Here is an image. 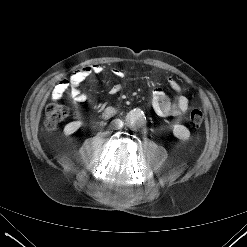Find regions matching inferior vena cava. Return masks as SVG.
I'll return each instance as SVG.
<instances>
[{"instance_id": "obj_1", "label": "inferior vena cava", "mask_w": 247, "mask_h": 247, "mask_svg": "<svg viewBox=\"0 0 247 247\" xmlns=\"http://www.w3.org/2000/svg\"><path fill=\"white\" fill-rule=\"evenodd\" d=\"M123 126V122L120 119H114L111 121V127L113 129H120Z\"/></svg>"}]
</instances>
